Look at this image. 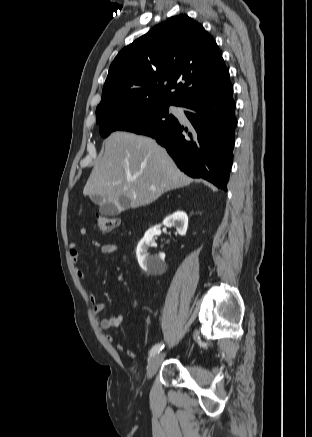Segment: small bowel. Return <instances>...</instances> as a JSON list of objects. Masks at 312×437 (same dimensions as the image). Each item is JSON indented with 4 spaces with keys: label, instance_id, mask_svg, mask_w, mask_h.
Here are the masks:
<instances>
[{
    "label": "small bowel",
    "instance_id": "1",
    "mask_svg": "<svg viewBox=\"0 0 312 437\" xmlns=\"http://www.w3.org/2000/svg\"><path fill=\"white\" fill-rule=\"evenodd\" d=\"M78 234H79V236H85L86 230L84 228H82L78 231ZM93 244L95 246L100 247L101 253L103 255H109V254L115 253L119 250L118 245L115 243L101 244L99 241H94ZM69 255H70V258H71L73 264L76 267L77 276L80 279H85L84 272L80 268L77 267L78 262H79V258H80V253L77 249V245L75 242H71L69 244ZM89 300L93 305V311L95 314H100L104 311L105 304L103 302H99L97 300L96 294L92 291L89 293ZM124 318H125L124 315L103 317L100 320V328L102 330H109L113 327H118L122 324V322L124 321ZM105 339L110 344H113L115 341L114 336L112 334H106ZM115 346H116L117 350L124 351L129 357H134L136 354L135 349L125 348V346L121 343H117Z\"/></svg>",
    "mask_w": 312,
    "mask_h": 437
}]
</instances>
